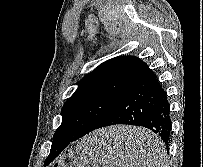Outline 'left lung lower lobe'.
<instances>
[{
  "instance_id": "0a47b994",
  "label": "left lung lower lobe",
  "mask_w": 203,
  "mask_h": 167,
  "mask_svg": "<svg viewBox=\"0 0 203 167\" xmlns=\"http://www.w3.org/2000/svg\"><path fill=\"white\" fill-rule=\"evenodd\" d=\"M116 124L148 128L161 138L168 150L172 127L170 105L166 92L147 64L98 128ZM81 137L57 139L51 146L47 162L53 161L71 142Z\"/></svg>"
}]
</instances>
